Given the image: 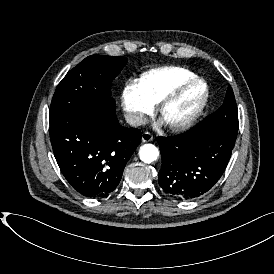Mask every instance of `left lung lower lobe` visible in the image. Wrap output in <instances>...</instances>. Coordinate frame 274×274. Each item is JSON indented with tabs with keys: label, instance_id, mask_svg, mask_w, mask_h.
<instances>
[{
	"label": "left lung lower lobe",
	"instance_id": "1",
	"mask_svg": "<svg viewBox=\"0 0 274 274\" xmlns=\"http://www.w3.org/2000/svg\"><path fill=\"white\" fill-rule=\"evenodd\" d=\"M236 137L203 126L179 136L157 137L162 157L159 185L178 200L206 193L224 173Z\"/></svg>",
	"mask_w": 274,
	"mask_h": 274
}]
</instances>
